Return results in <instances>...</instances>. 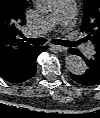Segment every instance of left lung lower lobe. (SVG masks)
I'll use <instances>...</instances> for the list:
<instances>
[{"mask_svg":"<svg viewBox=\"0 0 100 118\" xmlns=\"http://www.w3.org/2000/svg\"><path fill=\"white\" fill-rule=\"evenodd\" d=\"M70 53L76 55H82L80 52L73 50H69ZM85 63L88 68L86 72L81 75L71 74L70 77L77 83L92 86L100 83V54H94V56L90 59H85Z\"/></svg>","mask_w":100,"mask_h":118,"instance_id":"left-lung-lower-lobe-1","label":"left lung lower lobe"}]
</instances>
